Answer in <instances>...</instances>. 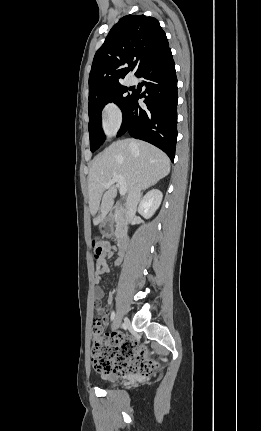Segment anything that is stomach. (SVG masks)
Returning a JSON list of instances; mask_svg holds the SVG:
<instances>
[{
    "mask_svg": "<svg viewBox=\"0 0 261 431\" xmlns=\"http://www.w3.org/2000/svg\"><path fill=\"white\" fill-rule=\"evenodd\" d=\"M99 230L104 236H112L114 233L113 221L111 219L103 221L99 226Z\"/></svg>",
    "mask_w": 261,
    "mask_h": 431,
    "instance_id": "stomach-1",
    "label": "stomach"
}]
</instances>
